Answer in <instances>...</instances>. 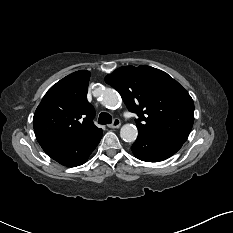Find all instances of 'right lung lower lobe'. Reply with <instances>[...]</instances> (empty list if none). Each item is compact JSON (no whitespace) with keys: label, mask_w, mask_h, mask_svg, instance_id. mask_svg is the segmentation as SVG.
I'll use <instances>...</instances> for the list:
<instances>
[{"label":"right lung lower lobe","mask_w":233,"mask_h":233,"mask_svg":"<svg viewBox=\"0 0 233 233\" xmlns=\"http://www.w3.org/2000/svg\"><path fill=\"white\" fill-rule=\"evenodd\" d=\"M102 137V130L77 142L47 141L39 143L43 150L58 163L75 167L86 162Z\"/></svg>","instance_id":"obj_1"}]
</instances>
